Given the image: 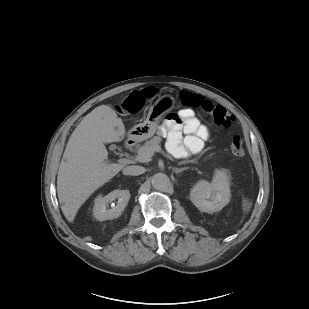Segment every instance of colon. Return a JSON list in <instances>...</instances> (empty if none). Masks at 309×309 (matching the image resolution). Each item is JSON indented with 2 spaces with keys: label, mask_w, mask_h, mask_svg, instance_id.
I'll list each match as a JSON object with an SVG mask.
<instances>
[{
  "label": "colon",
  "mask_w": 309,
  "mask_h": 309,
  "mask_svg": "<svg viewBox=\"0 0 309 309\" xmlns=\"http://www.w3.org/2000/svg\"><path fill=\"white\" fill-rule=\"evenodd\" d=\"M156 94L155 89L148 90L147 94H132L126 101L119 107L120 111L129 113H137L141 110L144 98L148 99ZM144 97V98H143ZM180 102L183 106L199 110L206 117H210L213 121L222 127L228 128L233 123V116L227 109L221 105L214 104L212 101L204 98L203 96L182 90L179 94ZM230 151L234 156L244 155V143L241 136L236 135L230 143Z\"/></svg>",
  "instance_id": "colon-1"
}]
</instances>
